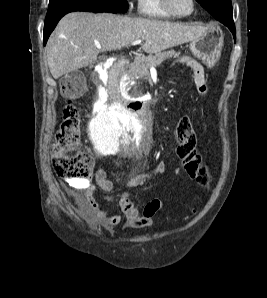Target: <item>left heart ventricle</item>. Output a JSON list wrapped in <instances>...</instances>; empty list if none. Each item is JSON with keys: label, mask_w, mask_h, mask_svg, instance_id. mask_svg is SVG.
I'll list each match as a JSON object with an SVG mask.
<instances>
[{"label": "left heart ventricle", "mask_w": 267, "mask_h": 298, "mask_svg": "<svg viewBox=\"0 0 267 298\" xmlns=\"http://www.w3.org/2000/svg\"><path fill=\"white\" fill-rule=\"evenodd\" d=\"M172 8L179 14H187L191 11V0H170Z\"/></svg>", "instance_id": "left-heart-ventricle-1"}]
</instances>
